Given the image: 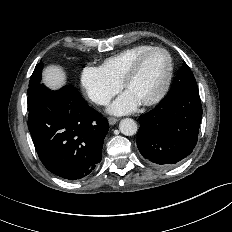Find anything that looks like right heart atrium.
Here are the masks:
<instances>
[{
  "label": "right heart atrium",
  "mask_w": 232,
  "mask_h": 232,
  "mask_svg": "<svg viewBox=\"0 0 232 232\" xmlns=\"http://www.w3.org/2000/svg\"><path fill=\"white\" fill-rule=\"evenodd\" d=\"M80 81L86 95L98 105L107 104L121 88V84L110 78L101 67H85Z\"/></svg>",
  "instance_id": "1"
}]
</instances>
